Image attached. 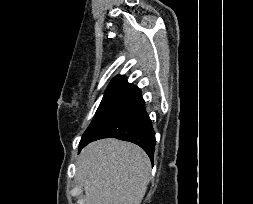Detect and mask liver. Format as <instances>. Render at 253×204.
I'll use <instances>...</instances> for the list:
<instances>
[{
    "instance_id": "obj_1",
    "label": "liver",
    "mask_w": 253,
    "mask_h": 204,
    "mask_svg": "<svg viewBox=\"0 0 253 204\" xmlns=\"http://www.w3.org/2000/svg\"><path fill=\"white\" fill-rule=\"evenodd\" d=\"M86 204H140L151 162L139 146L114 138L87 145L77 159Z\"/></svg>"
}]
</instances>
